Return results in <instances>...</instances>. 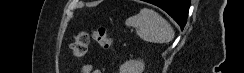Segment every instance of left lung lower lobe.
<instances>
[{"label":"left lung lower lobe","mask_w":244,"mask_h":73,"mask_svg":"<svg viewBox=\"0 0 244 73\" xmlns=\"http://www.w3.org/2000/svg\"><path fill=\"white\" fill-rule=\"evenodd\" d=\"M146 2L156 5L167 12L181 27L184 28L190 0H147Z\"/></svg>","instance_id":"obj_1"}]
</instances>
